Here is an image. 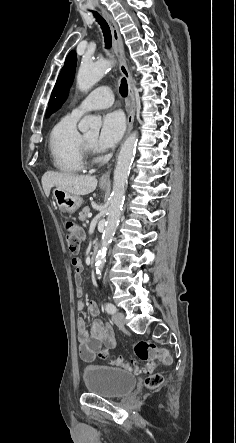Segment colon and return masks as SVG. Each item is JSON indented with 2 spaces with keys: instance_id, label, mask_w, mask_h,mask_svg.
Listing matches in <instances>:
<instances>
[{
  "instance_id": "1",
  "label": "colon",
  "mask_w": 236,
  "mask_h": 443,
  "mask_svg": "<svg viewBox=\"0 0 236 443\" xmlns=\"http://www.w3.org/2000/svg\"><path fill=\"white\" fill-rule=\"evenodd\" d=\"M63 226L66 233V242L68 248L72 253H75L78 251L81 242V228L76 222L72 220H66ZM72 265L75 270L74 279H79V277L81 276V268L76 261H74ZM133 351L138 359L145 364L143 368L145 371L151 370L155 362H160L165 365H170L172 363L171 353L167 349L160 348L150 341L140 340L135 342L133 344ZM98 356L102 359H108L107 350L100 349L98 351ZM86 357L89 358V355H86ZM111 363L115 366H119L125 369H131L133 367L132 362L119 357L112 359ZM162 382L163 378L160 374L150 375L146 379V385L149 388H157L162 384Z\"/></svg>"
}]
</instances>
